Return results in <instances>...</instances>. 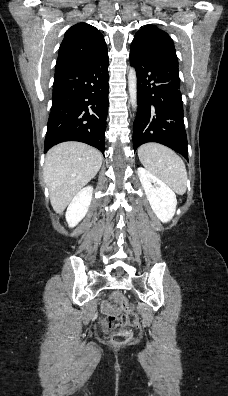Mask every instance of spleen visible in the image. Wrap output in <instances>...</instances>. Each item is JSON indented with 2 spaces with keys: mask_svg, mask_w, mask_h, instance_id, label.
Returning <instances> with one entry per match:
<instances>
[{
  "mask_svg": "<svg viewBox=\"0 0 228 396\" xmlns=\"http://www.w3.org/2000/svg\"><path fill=\"white\" fill-rule=\"evenodd\" d=\"M138 157L143 166L168 184L177 194L187 189V171L183 160L170 148L158 143L139 147Z\"/></svg>",
  "mask_w": 228,
  "mask_h": 396,
  "instance_id": "spleen-1",
  "label": "spleen"
}]
</instances>
